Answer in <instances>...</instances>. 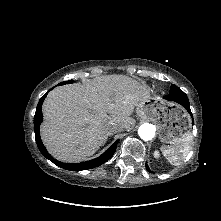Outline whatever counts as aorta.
Masks as SVG:
<instances>
[{"instance_id":"aorta-1","label":"aorta","mask_w":221,"mask_h":221,"mask_svg":"<svg viewBox=\"0 0 221 221\" xmlns=\"http://www.w3.org/2000/svg\"><path fill=\"white\" fill-rule=\"evenodd\" d=\"M155 126L149 123L142 124L138 128V135L144 141H149L155 136Z\"/></svg>"}]
</instances>
